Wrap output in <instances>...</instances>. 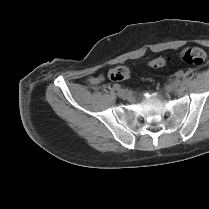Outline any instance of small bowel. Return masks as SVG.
I'll use <instances>...</instances> for the list:
<instances>
[{
  "label": "small bowel",
  "mask_w": 209,
  "mask_h": 209,
  "mask_svg": "<svg viewBox=\"0 0 209 209\" xmlns=\"http://www.w3.org/2000/svg\"><path fill=\"white\" fill-rule=\"evenodd\" d=\"M103 77L102 76H98V77H91L89 79L91 84H98L102 81Z\"/></svg>",
  "instance_id": "c3829d8e"
}]
</instances>
